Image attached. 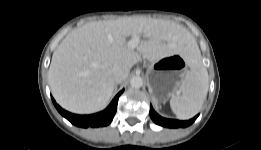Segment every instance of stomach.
Here are the masks:
<instances>
[{"label": "stomach", "mask_w": 261, "mask_h": 150, "mask_svg": "<svg viewBox=\"0 0 261 150\" xmlns=\"http://www.w3.org/2000/svg\"><path fill=\"white\" fill-rule=\"evenodd\" d=\"M189 60L176 53L150 63L147 69V84L155 102H165L173 96L188 70Z\"/></svg>", "instance_id": "stomach-1"}]
</instances>
